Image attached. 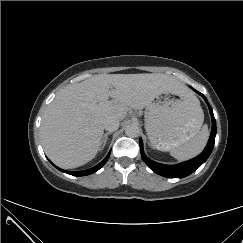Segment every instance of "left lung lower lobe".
Instances as JSON below:
<instances>
[{
  "label": "left lung lower lobe",
  "mask_w": 243,
  "mask_h": 243,
  "mask_svg": "<svg viewBox=\"0 0 243 243\" xmlns=\"http://www.w3.org/2000/svg\"><path fill=\"white\" fill-rule=\"evenodd\" d=\"M196 91V90H194ZM199 95H201L208 107H209V111L211 114V119H212V130H211V134H210V138L209 141L207 143V146L205 147V149L203 150V152L198 155L197 157L185 161L183 163L177 164V165H164V164H160L157 162H154L152 160H150L144 153L143 151V143L142 140L140 138V151H141V156L144 160V162L148 165V167L153 170L155 173L164 176V177H169V178H183L185 176H188L189 174H191L192 172H194L196 169H198L209 157V155L211 154L213 147H214V143H215V136H216V120L214 118V114H213V110L210 106V104L208 103L206 97H204V95L198 91H196Z\"/></svg>",
  "instance_id": "left-lung-lower-lobe-1"
}]
</instances>
